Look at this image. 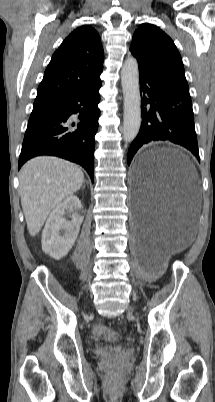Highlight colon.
I'll list each match as a JSON object with an SVG mask.
<instances>
[{"label":"colon","mask_w":215,"mask_h":402,"mask_svg":"<svg viewBox=\"0 0 215 402\" xmlns=\"http://www.w3.org/2000/svg\"><path fill=\"white\" fill-rule=\"evenodd\" d=\"M93 333L97 337H106L110 340H115L118 338V334L114 331L109 330L102 324H97L93 328Z\"/></svg>","instance_id":"5ec220e1"}]
</instances>
